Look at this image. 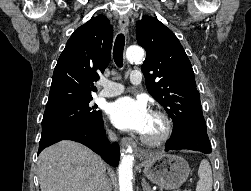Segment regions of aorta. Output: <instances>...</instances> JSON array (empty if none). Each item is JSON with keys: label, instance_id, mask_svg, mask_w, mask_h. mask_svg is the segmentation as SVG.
Masks as SVG:
<instances>
[{"label": "aorta", "instance_id": "obj_1", "mask_svg": "<svg viewBox=\"0 0 251 191\" xmlns=\"http://www.w3.org/2000/svg\"><path fill=\"white\" fill-rule=\"evenodd\" d=\"M145 52L143 48H139V46H130L126 50V58L128 62H134V64H139L144 60ZM125 153L128 155H122V159L119 163V189L120 191H133L132 187V167H133V159L134 155H132L131 147L128 149H124Z\"/></svg>", "mask_w": 251, "mask_h": 191}]
</instances>
